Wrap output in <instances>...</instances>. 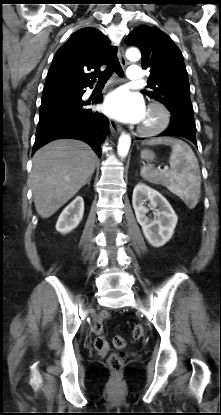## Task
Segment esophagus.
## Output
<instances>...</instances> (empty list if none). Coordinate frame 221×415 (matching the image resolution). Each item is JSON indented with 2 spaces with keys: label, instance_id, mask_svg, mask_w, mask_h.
I'll return each mask as SVG.
<instances>
[{
  "label": "esophagus",
  "instance_id": "34e87169",
  "mask_svg": "<svg viewBox=\"0 0 221 415\" xmlns=\"http://www.w3.org/2000/svg\"><path fill=\"white\" fill-rule=\"evenodd\" d=\"M118 58H119L120 63L123 66L127 65L128 62L125 58V51L123 47H119L118 49ZM110 128H111L112 133L114 134H118L122 132V127L118 125L115 121H110Z\"/></svg>",
  "mask_w": 221,
  "mask_h": 415
}]
</instances>
